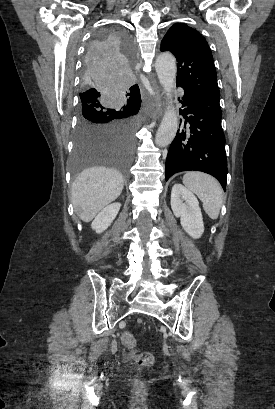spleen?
I'll use <instances>...</instances> for the list:
<instances>
[{"label": "spleen", "instance_id": "obj_1", "mask_svg": "<svg viewBox=\"0 0 275 409\" xmlns=\"http://www.w3.org/2000/svg\"><path fill=\"white\" fill-rule=\"evenodd\" d=\"M183 182L202 200L208 217L218 219L223 202V190L218 180L205 172H186Z\"/></svg>", "mask_w": 275, "mask_h": 409}]
</instances>
